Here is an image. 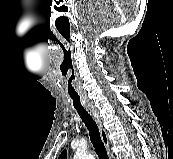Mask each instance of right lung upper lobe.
<instances>
[{
    "label": "right lung upper lobe",
    "instance_id": "obj_1",
    "mask_svg": "<svg viewBox=\"0 0 173 159\" xmlns=\"http://www.w3.org/2000/svg\"><path fill=\"white\" fill-rule=\"evenodd\" d=\"M59 159H67V155H66V150H64L61 155L59 156Z\"/></svg>",
    "mask_w": 173,
    "mask_h": 159
}]
</instances>
